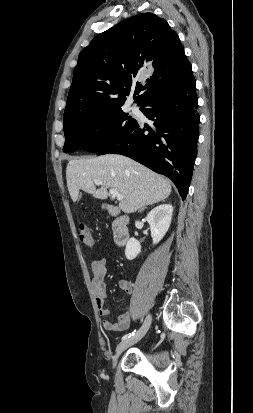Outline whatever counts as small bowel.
Returning a JSON list of instances; mask_svg holds the SVG:
<instances>
[{
    "label": "small bowel",
    "mask_w": 253,
    "mask_h": 413,
    "mask_svg": "<svg viewBox=\"0 0 253 413\" xmlns=\"http://www.w3.org/2000/svg\"><path fill=\"white\" fill-rule=\"evenodd\" d=\"M107 272L108 269L106 258L102 257L94 260L91 263V286L95 294L98 313L103 318V327L107 331L122 332L126 330L131 323L130 306L126 304L123 307V312L116 321H111L108 319V317L110 316V311L106 307L108 296L105 282ZM119 287L127 294H130L132 292V286L127 280H120Z\"/></svg>",
    "instance_id": "obj_1"
}]
</instances>
